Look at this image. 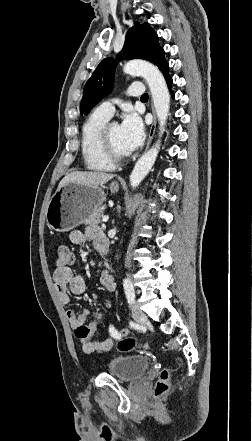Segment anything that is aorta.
I'll return each instance as SVG.
<instances>
[{"label": "aorta", "instance_id": "1", "mask_svg": "<svg viewBox=\"0 0 252 441\" xmlns=\"http://www.w3.org/2000/svg\"><path fill=\"white\" fill-rule=\"evenodd\" d=\"M123 71L130 75H140L146 80L152 95L160 126L159 136L161 137L164 132V126L170 108V95L162 73L154 65L141 60L128 61L124 65ZM159 149L160 140H158L156 144H154L153 147L144 153L136 162L130 175V185L132 189H136L149 173L155 163Z\"/></svg>", "mask_w": 252, "mask_h": 441}]
</instances>
